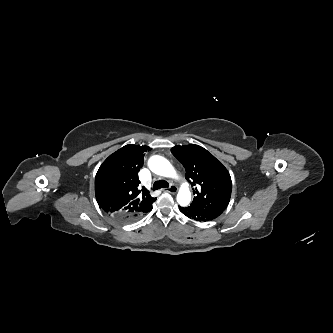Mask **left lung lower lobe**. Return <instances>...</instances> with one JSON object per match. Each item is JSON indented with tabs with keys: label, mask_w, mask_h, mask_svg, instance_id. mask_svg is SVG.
Wrapping results in <instances>:
<instances>
[{
	"label": "left lung lower lobe",
	"mask_w": 333,
	"mask_h": 333,
	"mask_svg": "<svg viewBox=\"0 0 333 333\" xmlns=\"http://www.w3.org/2000/svg\"><path fill=\"white\" fill-rule=\"evenodd\" d=\"M179 210L187 217L197 221H209L217 218L223 211L207 210L194 206H179Z\"/></svg>",
	"instance_id": "obj_1"
}]
</instances>
